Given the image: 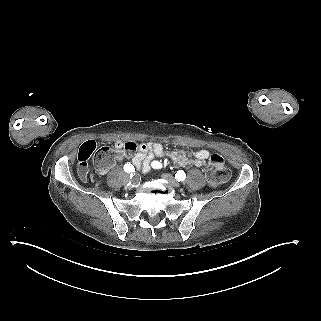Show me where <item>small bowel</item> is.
Here are the masks:
<instances>
[{
  "mask_svg": "<svg viewBox=\"0 0 321 321\" xmlns=\"http://www.w3.org/2000/svg\"><path fill=\"white\" fill-rule=\"evenodd\" d=\"M96 149L97 144L95 141H86L81 145L78 157L86 154V158L88 159ZM98 153L107 158V161L105 162H100L99 160L96 161L97 170L100 175H106L117 161L133 155V153L124 149V145L121 141H116L113 149L109 147L100 148ZM209 155V151L204 149L190 152L183 150L166 152L161 143L147 142L138 144V148L136 153L133 155L132 162L138 170L147 172L150 170L152 163L156 158L166 156L179 167H201L205 165ZM81 179L87 180V178L83 177H81Z\"/></svg>",
  "mask_w": 321,
  "mask_h": 321,
  "instance_id": "small-bowel-1",
  "label": "small bowel"
}]
</instances>
